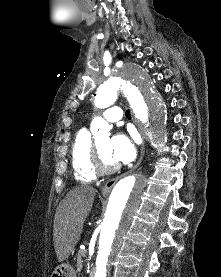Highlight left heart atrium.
<instances>
[{
    "label": "left heart atrium",
    "mask_w": 221,
    "mask_h": 277,
    "mask_svg": "<svg viewBox=\"0 0 221 277\" xmlns=\"http://www.w3.org/2000/svg\"><path fill=\"white\" fill-rule=\"evenodd\" d=\"M137 140L135 136L119 133L110 140L109 150L116 163H129L137 155Z\"/></svg>",
    "instance_id": "39dd6f15"
}]
</instances>
